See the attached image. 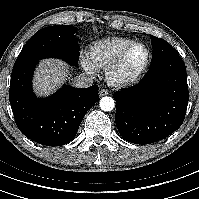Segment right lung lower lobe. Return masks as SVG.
<instances>
[{"label": "right lung lower lobe", "instance_id": "obj_1", "mask_svg": "<svg viewBox=\"0 0 199 199\" xmlns=\"http://www.w3.org/2000/svg\"><path fill=\"white\" fill-rule=\"evenodd\" d=\"M33 61L12 70L9 100L19 130L29 139L46 146L70 142L90 107L99 100L98 86L84 89L63 86L45 99L31 89Z\"/></svg>", "mask_w": 199, "mask_h": 199}]
</instances>
